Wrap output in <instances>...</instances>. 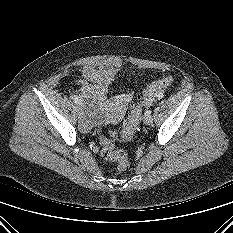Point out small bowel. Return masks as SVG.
Instances as JSON below:
<instances>
[{
	"label": "small bowel",
	"instance_id": "small-bowel-1",
	"mask_svg": "<svg viewBox=\"0 0 233 233\" xmlns=\"http://www.w3.org/2000/svg\"><path fill=\"white\" fill-rule=\"evenodd\" d=\"M116 71L111 69L105 72L103 75L97 73L88 72L85 76L79 80V84L86 92L93 91L102 99L105 97L108 87L114 81ZM131 100L130 94H124L115 99L110 107L113 111L114 117L118 120L122 117L128 102Z\"/></svg>",
	"mask_w": 233,
	"mask_h": 233
}]
</instances>
